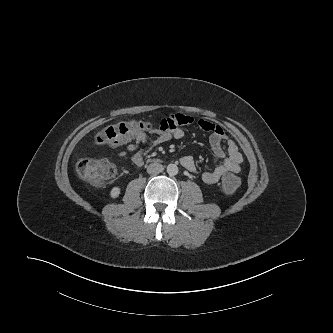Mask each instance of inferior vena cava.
<instances>
[{
    "mask_svg": "<svg viewBox=\"0 0 333 333\" xmlns=\"http://www.w3.org/2000/svg\"><path fill=\"white\" fill-rule=\"evenodd\" d=\"M164 168L160 163H151L147 167L148 174H158L163 172Z\"/></svg>",
    "mask_w": 333,
    "mask_h": 333,
    "instance_id": "1",
    "label": "inferior vena cava"
}]
</instances>
